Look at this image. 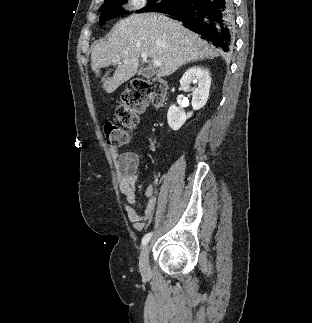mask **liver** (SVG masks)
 I'll list each match as a JSON object with an SVG mask.
<instances>
[{
    "mask_svg": "<svg viewBox=\"0 0 312 323\" xmlns=\"http://www.w3.org/2000/svg\"><path fill=\"white\" fill-rule=\"evenodd\" d=\"M219 50L190 32L166 14H132L115 24L109 36L95 44L91 66L97 78L100 68L116 66L111 78H102L107 94L135 76L141 54H148L158 66L157 78H165L187 62L217 56Z\"/></svg>",
    "mask_w": 312,
    "mask_h": 323,
    "instance_id": "6515ba94",
    "label": "liver"
}]
</instances>
